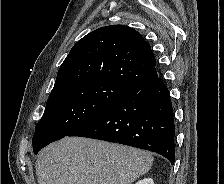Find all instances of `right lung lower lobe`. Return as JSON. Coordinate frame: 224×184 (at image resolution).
I'll return each instance as SVG.
<instances>
[{
  "mask_svg": "<svg viewBox=\"0 0 224 184\" xmlns=\"http://www.w3.org/2000/svg\"><path fill=\"white\" fill-rule=\"evenodd\" d=\"M68 136L129 145L175 161L174 114L161 78L129 87L106 110Z\"/></svg>",
  "mask_w": 224,
  "mask_h": 184,
  "instance_id": "obj_1",
  "label": "right lung lower lobe"
}]
</instances>
